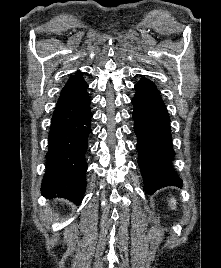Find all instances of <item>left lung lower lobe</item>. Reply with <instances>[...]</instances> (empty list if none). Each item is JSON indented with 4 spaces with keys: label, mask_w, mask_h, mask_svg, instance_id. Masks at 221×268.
I'll return each mask as SVG.
<instances>
[{
    "label": "left lung lower lobe",
    "mask_w": 221,
    "mask_h": 268,
    "mask_svg": "<svg viewBox=\"0 0 221 268\" xmlns=\"http://www.w3.org/2000/svg\"><path fill=\"white\" fill-rule=\"evenodd\" d=\"M134 132L137 136L138 163L146 193L152 194L165 186H182V180L172 167L170 118L155 85L142 78L136 85Z\"/></svg>",
    "instance_id": "obj_1"
}]
</instances>
